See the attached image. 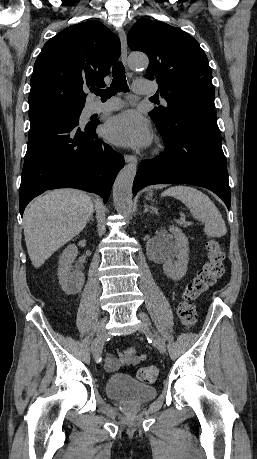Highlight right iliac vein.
Here are the masks:
<instances>
[{
  "instance_id": "1",
  "label": "right iliac vein",
  "mask_w": 257,
  "mask_h": 459,
  "mask_svg": "<svg viewBox=\"0 0 257 459\" xmlns=\"http://www.w3.org/2000/svg\"><path fill=\"white\" fill-rule=\"evenodd\" d=\"M106 323H107V318H103L96 329L97 341H96L95 346L93 347V356L95 360L97 361L101 357L102 347H103L105 338L107 336Z\"/></svg>"
}]
</instances>
